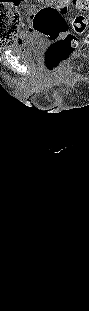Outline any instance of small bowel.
<instances>
[{"label": "small bowel", "mask_w": 89, "mask_h": 311, "mask_svg": "<svg viewBox=\"0 0 89 311\" xmlns=\"http://www.w3.org/2000/svg\"><path fill=\"white\" fill-rule=\"evenodd\" d=\"M27 35L28 31L25 30L23 24H20V26L12 31V33H9L7 37H9L12 42L20 43L27 37Z\"/></svg>", "instance_id": "c3829d8e"}]
</instances>
